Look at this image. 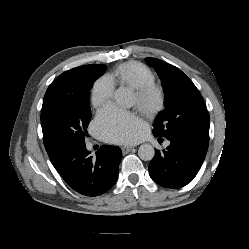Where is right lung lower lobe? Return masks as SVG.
I'll return each mask as SVG.
<instances>
[{"label": "right lung lower lobe", "mask_w": 249, "mask_h": 249, "mask_svg": "<svg viewBox=\"0 0 249 249\" xmlns=\"http://www.w3.org/2000/svg\"><path fill=\"white\" fill-rule=\"evenodd\" d=\"M65 182L86 196H98L109 190L117 180L122 151L117 146L103 145L90 155L85 143L66 144L47 152Z\"/></svg>", "instance_id": "obj_1"}]
</instances>
